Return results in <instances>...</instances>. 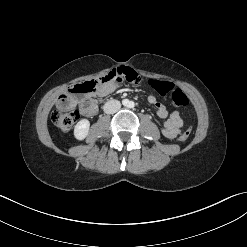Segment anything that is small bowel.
<instances>
[{"instance_id":"small-bowel-1","label":"small bowel","mask_w":247,"mask_h":247,"mask_svg":"<svg viewBox=\"0 0 247 247\" xmlns=\"http://www.w3.org/2000/svg\"><path fill=\"white\" fill-rule=\"evenodd\" d=\"M115 72L117 74V79H114L100 86L97 91V94L99 96H106L119 89L122 83V79L126 78L128 74L136 75V73L129 67L118 68L117 70H115ZM147 100L156 108V113L160 118H165L168 116V119L164 123L162 129L163 135L170 139L175 138L179 134L183 124L179 112L173 111L169 114L165 105L159 102L153 95H149L147 97ZM80 109L84 116L91 117L97 112V104L94 101L91 103L83 101L80 105Z\"/></svg>"}]
</instances>
